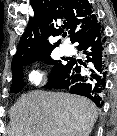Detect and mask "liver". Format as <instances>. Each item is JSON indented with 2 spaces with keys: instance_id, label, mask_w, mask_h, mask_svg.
I'll list each match as a JSON object with an SVG mask.
<instances>
[{
  "instance_id": "obj_1",
  "label": "liver",
  "mask_w": 117,
  "mask_h": 136,
  "mask_svg": "<svg viewBox=\"0 0 117 136\" xmlns=\"http://www.w3.org/2000/svg\"><path fill=\"white\" fill-rule=\"evenodd\" d=\"M10 118L8 136H89L97 109L85 97L35 90L17 100Z\"/></svg>"
}]
</instances>
